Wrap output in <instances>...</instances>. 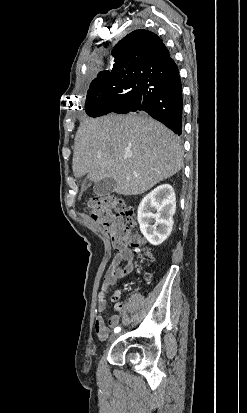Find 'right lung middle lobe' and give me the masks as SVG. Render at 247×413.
<instances>
[{"mask_svg": "<svg viewBox=\"0 0 247 413\" xmlns=\"http://www.w3.org/2000/svg\"><path fill=\"white\" fill-rule=\"evenodd\" d=\"M124 90L123 81L93 80L86 97V113L91 117L94 116L110 98L122 94Z\"/></svg>", "mask_w": 247, "mask_h": 413, "instance_id": "right-lung-middle-lobe-1", "label": "right lung middle lobe"}]
</instances>
